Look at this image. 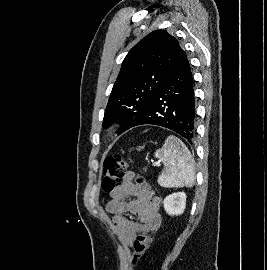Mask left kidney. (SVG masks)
Instances as JSON below:
<instances>
[{
    "label": "left kidney",
    "mask_w": 267,
    "mask_h": 270,
    "mask_svg": "<svg viewBox=\"0 0 267 270\" xmlns=\"http://www.w3.org/2000/svg\"><path fill=\"white\" fill-rule=\"evenodd\" d=\"M164 209L169 215H181L186 207V194L177 192L167 196L164 201Z\"/></svg>",
    "instance_id": "left-kidney-1"
}]
</instances>
